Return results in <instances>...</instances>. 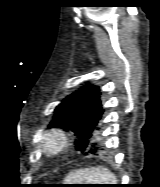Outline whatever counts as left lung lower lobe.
I'll return each instance as SVG.
<instances>
[{
  "instance_id": "0a47b994",
  "label": "left lung lower lobe",
  "mask_w": 160,
  "mask_h": 187,
  "mask_svg": "<svg viewBox=\"0 0 160 187\" xmlns=\"http://www.w3.org/2000/svg\"><path fill=\"white\" fill-rule=\"evenodd\" d=\"M95 130H99V127L97 126V128ZM99 150H100L99 143L91 141V147H90V151L89 152L96 153Z\"/></svg>"
}]
</instances>
